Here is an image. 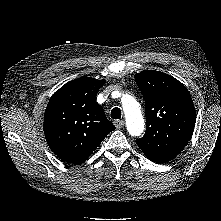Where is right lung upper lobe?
<instances>
[{"mask_svg":"<svg viewBox=\"0 0 221 221\" xmlns=\"http://www.w3.org/2000/svg\"><path fill=\"white\" fill-rule=\"evenodd\" d=\"M105 80L81 77L58 89L44 115V134L51 150L62 160L81 164L115 126L96 102Z\"/></svg>","mask_w":221,"mask_h":221,"instance_id":"right-lung-upper-lobe-1","label":"right lung upper lobe"}]
</instances>
